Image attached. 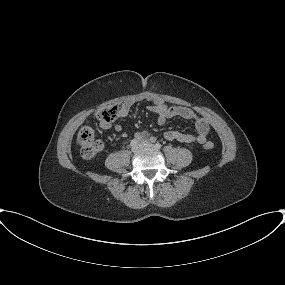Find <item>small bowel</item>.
<instances>
[{"label": "small bowel", "instance_id": "small-bowel-1", "mask_svg": "<svg viewBox=\"0 0 285 285\" xmlns=\"http://www.w3.org/2000/svg\"><path fill=\"white\" fill-rule=\"evenodd\" d=\"M142 101H147L150 105L147 107V110L156 115L157 123L159 125H164L168 119L173 117H181L188 120H193L196 134L184 133L177 130H170L165 132L164 138L168 141H177L185 144H204L207 140L210 126L208 122L199 117L194 111L186 107H176L167 105L163 99L152 94H142L129 97L121 104L123 111L121 116L126 117L129 114L130 109L137 103ZM100 127L103 129L109 128V124H104L100 122ZM116 132L122 131V126L116 124L114 126ZM135 139L138 142L145 140L155 141V137L149 134L146 131L139 132L135 135Z\"/></svg>", "mask_w": 285, "mask_h": 285}]
</instances>
